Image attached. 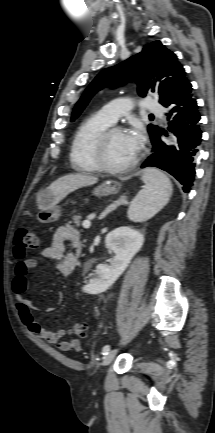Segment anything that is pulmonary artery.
Returning a JSON list of instances; mask_svg holds the SVG:
<instances>
[{"label":"pulmonary artery","instance_id":"e3ab8cb5","mask_svg":"<svg viewBox=\"0 0 215 433\" xmlns=\"http://www.w3.org/2000/svg\"><path fill=\"white\" fill-rule=\"evenodd\" d=\"M132 105L133 103L130 99L121 98L104 105L100 109L99 113L113 124L120 116L129 113L132 109ZM144 106L146 110L150 113L160 114L162 111V106L154 99L149 97L145 99Z\"/></svg>","mask_w":215,"mask_h":433}]
</instances>
